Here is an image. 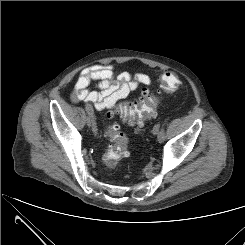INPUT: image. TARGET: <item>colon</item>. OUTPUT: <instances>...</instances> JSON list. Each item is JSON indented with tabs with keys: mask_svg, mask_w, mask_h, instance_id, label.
Segmentation results:
<instances>
[{
	"mask_svg": "<svg viewBox=\"0 0 245 245\" xmlns=\"http://www.w3.org/2000/svg\"><path fill=\"white\" fill-rule=\"evenodd\" d=\"M179 83V78L174 72H166L159 79L160 87L164 92L175 91ZM157 103L158 96L152 90L146 88L143 89L139 98L122 104L119 108V113L130 126L141 129L146 120L155 117ZM108 115L112 117L114 112L110 111ZM108 131L113 140V145L103 154L102 160L104 163L112 165L127 157L129 149L127 138L119 130L117 123L110 124Z\"/></svg>",
	"mask_w": 245,
	"mask_h": 245,
	"instance_id": "obj_1",
	"label": "colon"
}]
</instances>
